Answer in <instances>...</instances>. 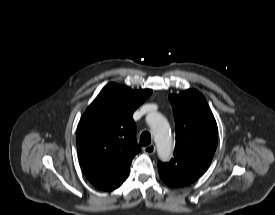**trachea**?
I'll return each instance as SVG.
<instances>
[{
    "instance_id": "3493384b",
    "label": "trachea",
    "mask_w": 275,
    "mask_h": 215,
    "mask_svg": "<svg viewBox=\"0 0 275 215\" xmlns=\"http://www.w3.org/2000/svg\"><path fill=\"white\" fill-rule=\"evenodd\" d=\"M151 143V135L149 132L145 131L140 136L139 144L142 146H148Z\"/></svg>"
}]
</instances>
